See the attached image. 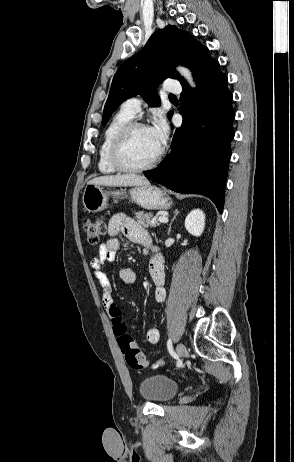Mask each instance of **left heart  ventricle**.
<instances>
[{
  "label": "left heart ventricle",
  "instance_id": "left-heart-ventricle-1",
  "mask_svg": "<svg viewBox=\"0 0 294 462\" xmlns=\"http://www.w3.org/2000/svg\"><path fill=\"white\" fill-rule=\"evenodd\" d=\"M159 151L149 128H140L130 136L124 157L129 164L141 166L151 161Z\"/></svg>",
  "mask_w": 294,
  "mask_h": 462
}]
</instances>
